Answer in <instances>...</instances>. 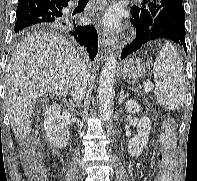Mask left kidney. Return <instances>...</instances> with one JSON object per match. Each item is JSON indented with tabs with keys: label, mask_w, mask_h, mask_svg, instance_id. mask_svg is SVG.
Masks as SVG:
<instances>
[{
	"label": "left kidney",
	"mask_w": 197,
	"mask_h": 181,
	"mask_svg": "<svg viewBox=\"0 0 197 181\" xmlns=\"http://www.w3.org/2000/svg\"><path fill=\"white\" fill-rule=\"evenodd\" d=\"M125 109L128 113H136L139 112L140 106L134 100H130L126 103ZM151 129L150 119L142 117L137 125V134L128 141L130 155L138 157L142 153V150L147 146Z\"/></svg>",
	"instance_id": "5707ae66"
}]
</instances>
